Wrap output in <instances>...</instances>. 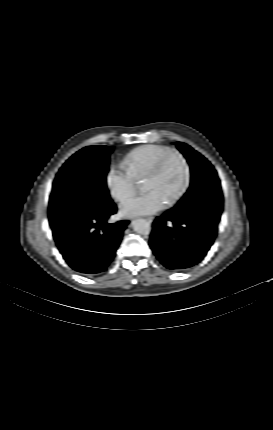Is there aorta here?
I'll list each match as a JSON object with an SVG mask.
<instances>
[{
	"label": "aorta",
	"instance_id": "1",
	"mask_svg": "<svg viewBox=\"0 0 273 430\" xmlns=\"http://www.w3.org/2000/svg\"><path fill=\"white\" fill-rule=\"evenodd\" d=\"M131 226L136 233L141 235H148L151 231L150 223L142 218L134 219Z\"/></svg>",
	"mask_w": 273,
	"mask_h": 430
}]
</instances>
